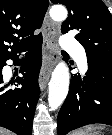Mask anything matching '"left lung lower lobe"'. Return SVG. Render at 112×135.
Wrapping results in <instances>:
<instances>
[{"label":"left lung lower lobe","mask_w":112,"mask_h":135,"mask_svg":"<svg viewBox=\"0 0 112 135\" xmlns=\"http://www.w3.org/2000/svg\"><path fill=\"white\" fill-rule=\"evenodd\" d=\"M88 71L72 76L69 92L57 117L58 135L88 124L112 126V61L87 58Z\"/></svg>","instance_id":"0a47b994"}]
</instances>
